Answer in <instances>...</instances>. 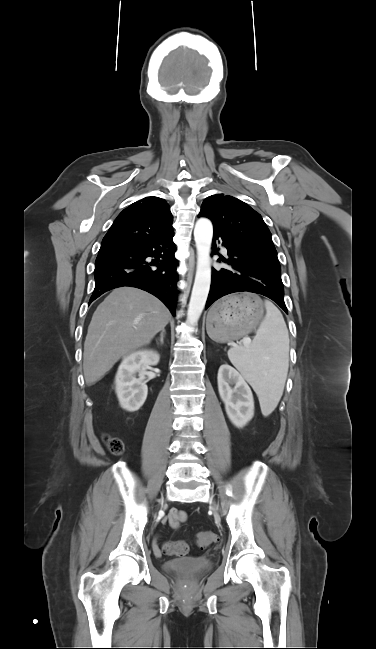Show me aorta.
I'll return each instance as SVG.
<instances>
[{
  "instance_id": "aorta-1",
  "label": "aorta",
  "mask_w": 376,
  "mask_h": 649,
  "mask_svg": "<svg viewBox=\"0 0 376 649\" xmlns=\"http://www.w3.org/2000/svg\"><path fill=\"white\" fill-rule=\"evenodd\" d=\"M212 236L213 226L211 221L206 218H199L194 228L197 269L187 314V323L192 326L198 322L210 290Z\"/></svg>"
}]
</instances>
